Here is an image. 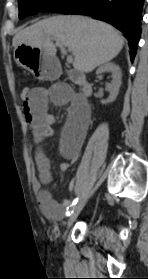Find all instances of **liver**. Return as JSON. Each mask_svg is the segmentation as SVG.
Returning a JSON list of instances; mask_svg holds the SVG:
<instances>
[{
    "instance_id": "6515ba94",
    "label": "liver",
    "mask_w": 148,
    "mask_h": 279,
    "mask_svg": "<svg viewBox=\"0 0 148 279\" xmlns=\"http://www.w3.org/2000/svg\"><path fill=\"white\" fill-rule=\"evenodd\" d=\"M59 40L74 56L75 70L89 73L115 58L123 48L124 38L111 25L82 16L59 15L38 21L13 38V46L42 49L56 57L53 41Z\"/></svg>"
}]
</instances>
